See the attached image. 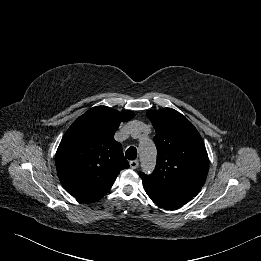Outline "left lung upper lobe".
<instances>
[{"label":"left lung upper lobe","mask_w":261,"mask_h":261,"mask_svg":"<svg viewBox=\"0 0 261 261\" xmlns=\"http://www.w3.org/2000/svg\"><path fill=\"white\" fill-rule=\"evenodd\" d=\"M155 128L157 163L151 175L140 173L143 184L194 197L208 173V154L196 128L171 108L149 110Z\"/></svg>","instance_id":"5c2ea615"}]
</instances>
